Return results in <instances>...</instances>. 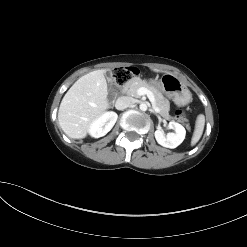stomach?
Wrapping results in <instances>:
<instances>
[{
	"mask_svg": "<svg viewBox=\"0 0 247 247\" xmlns=\"http://www.w3.org/2000/svg\"><path fill=\"white\" fill-rule=\"evenodd\" d=\"M156 85L178 106H184L191 101L189 89L172 74H164L161 79L156 82Z\"/></svg>",
	"mask_w": 247,
	"mask_h": 247,
	"instance_id": "stomach-1",
	"label": "stomach"
}]
</instances>
